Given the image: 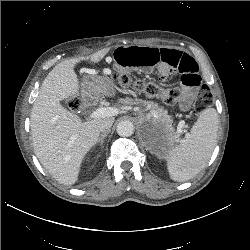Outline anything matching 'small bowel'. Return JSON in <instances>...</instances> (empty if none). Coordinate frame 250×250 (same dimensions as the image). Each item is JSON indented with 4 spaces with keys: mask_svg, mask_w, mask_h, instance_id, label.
<instances>
[{
    "mask_svg": "<svg viewBox=\"0 0 250 250\" xmlns=\"http://www.w3.org/2000/svg\"><path fill=\"white\" fill-rule=\"evenodd\" d=\"M113 66L122 72H135L143 76L157 74L166 81L171 75L181 76V86L185 92L180 104L186 110L193 96V90L201 85L199 66L190 55L168 48L121 46L114 50Z\"/></svg>",
    "mask_w": 250,
    "mask_h": 250,
    "instance_id": "1",
    "label": "small bowel"
}]
</instances>
